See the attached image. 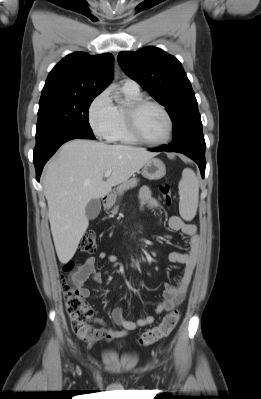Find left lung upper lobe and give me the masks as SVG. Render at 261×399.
<instances>
[{
    "label": "left lung upper lobe",
    "instance_id": "left-lung-upper-lobe-1",
    "mask_svg": "<svg viewBox=\"0 0 261 399\" xmlns=\"http://www.w3.org/2000/svg\"><path fill=\"white\" fill-rule=\"evenodd\" d=\"M122 70L163 104L173 122L172 146L205 144L197 100L181 63L149 46L118 54Z\"/></svg>",
    "mask_w": 261,
    "mask_h": 399
}]
</instances>
